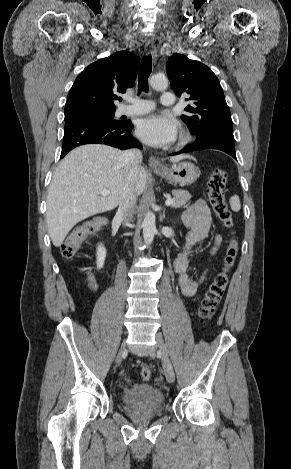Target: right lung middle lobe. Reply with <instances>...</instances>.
<instances>
[{"label": "right lung middle lobe", "mask_w": 291, "mask_h": 469, "mask_svg": "<svg viewBox=\"0 0 291 469\" xmlns=\"http://www.w3.org/2000/svg\"><path fill=\"white\" fill-rule=\"evenodd\" d=\"M114 113L115 109L111 110H91V111H86L78 114H73V115H66L65 116V121L77 117H98V118H103L107 120H114Z\"/></svg>", "instance_id": "right-lung-middle-lobe-1"}]
</instances>
